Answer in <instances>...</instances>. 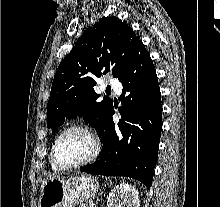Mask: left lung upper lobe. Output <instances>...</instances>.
Masks as SVG:
<instances>
[{
	"label": "left lung upper lobe",
	"mask_w": 220,
	"mask_h": 207,
	"mask_svg": "<svg viewBox=\"0 0 220 207\" xmlns=\"http://www.w3.org/2000/svg\"><path fill=\"white\" fill-rule=\"evenodd\" d=\"M141 43L132 28L118 17H103L86 30L61 61L47 104V127L55 132L66 119L83 114L99 132L112 101L94 91L95 78L112 72L118 77Z\"/></svg>",
	"instance_id": "obj_1"
}]
</instances>
